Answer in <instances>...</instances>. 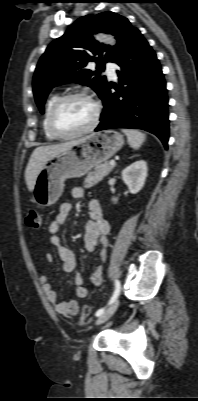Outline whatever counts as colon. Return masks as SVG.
Listing matches in <instances>:
<instances>
[{
	"instance_id": "5ec220e1",
	"label": "colon",
	"mask_w": 198,
	"mask_h": 401,
	"mask_svg": "<svg viewBox=\"0 0 198 401\" xmlns=\"http://www.w3.org/2000/svg\"><path fill=\"white\" fill-rule=\"evenodd\" d=\"M26 224L31 228H40L42 225V216L41 214L34 209L28 210L26 214ZM90 312L91 309L88 305L83 307L82 315H81V322L86 323L90 319Z\"/></svg>"
}]
</instances>
